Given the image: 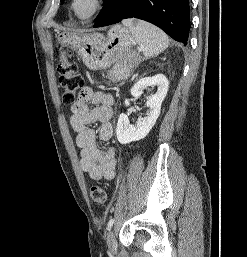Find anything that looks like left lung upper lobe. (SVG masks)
<instances>
[{
    "label": "left lung upper lobe",
    "mask_w": 247,
    "mask_h": 257,
    "mask_svg": "<svg viewBox=\"0 0 247 257\" xmlns=\"http://www.w3.org/2000/svg\"><path fill=\"white\" fill-rule=\"evenodd\" d=\"M104 1V3L107 1V0H103ZM64 2V0H61V3H63Z\"/></svg>",
    "instance_id": "obj_1"
}]
</instances>
